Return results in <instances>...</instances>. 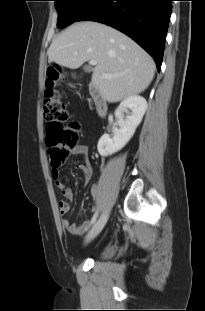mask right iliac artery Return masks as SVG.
Instances as JSON below:
<instances>
[{
	"instance_id": "82829eb1",
	"label": "right iliac artery",
	"mask_w": 205,
	"mask_h": 311,
	"mask_svg": "<svg viewBox=\"0 0 205 311\" xmlns=\"http://www.w3.org/2000/svg\"><path fill=\"white\" fill-rule=\"evenodd\" d=\"M97 216H98L97 213H95V214L93 215L92 220H91V224H94V223H95V221H96V219H97Z\"/></svg>"
}]
</instances>
